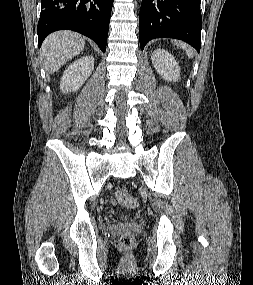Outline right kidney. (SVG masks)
Returning <instances> with one entry per match:
<instances>
[{"instance_id":"right-kidney-1","label":"right kidney","mask_w":253,"mask_h":285,"mask_svg":"<svg viewBox=\"0 0 253 285\" xmlns=\"http://www.w3.org/2000/svg\"><path fill=\"white\" fill-rule=\"evenodd\" d=\"M93 69V56H85L77 59L64 71L60 83V90L63 93L77 91L91 75Z\"/></svg>"}]
</instances>
